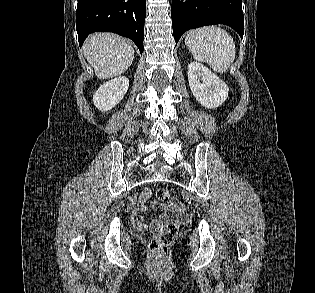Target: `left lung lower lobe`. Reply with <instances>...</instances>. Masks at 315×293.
<instances>
[{"instance_id":"obj_1","label":"left lung lower lobe","mask_w":315,"mask_h":293,"mask_svg":"<svg viewBox=\"0 0 315 293\" xmlns=\"http://www.w3.org/2000/svg\"><path fill=\"white\" fill-rule=\"evenodd\" d=\"M171 17L176 44L187 30L206 25L225 24L244 34L241 0H172Z\"/></svg>"}]
</instances>
